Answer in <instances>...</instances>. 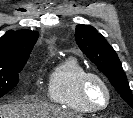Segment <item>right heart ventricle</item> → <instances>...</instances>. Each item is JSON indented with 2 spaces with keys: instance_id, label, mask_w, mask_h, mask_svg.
Wrapping results in <instances>:
<instances>
[{
  "instance_id": "e07e8e85",
  "label": "right heart ventricle",
  "mask_w": 133,
  "mask_h": 118,
  "mask_svg": "<svg viewBox=\"0 0 133 118\" xmlns=\"http://www.w3.org/2000/svg\"><path fill=\"white\" fill-rule=\"evenodd\" d=\"M86 73V68L76 58L59 62L48 77L47 94L50 101L76 113H92L80 92V83Z\"/></svg>"
}]
</instances>
